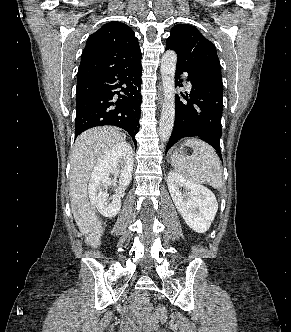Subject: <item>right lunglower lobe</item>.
<instances>
[{
  "label": "right lung lower lobe",
  "mask_w": 291,
  "mask_h": 332,
  "mask_svg": "<svg viewBox=\"0 0 291 332\" xmlns=\"http://www.w3.org/2000/svg\"><path fill=\"white\" fill-rule=\"evenodd\" d=\"M141 73L140 59L125 68L79 77L75 138L89 128L112 125L126 130L136 146L141 114Z\"/></svg>",
  "instance_id": "obj_1"
}]
</instances>
